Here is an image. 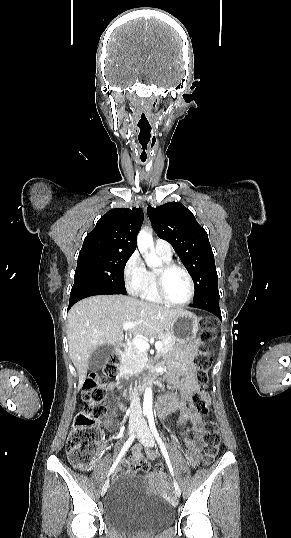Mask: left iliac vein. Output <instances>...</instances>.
<instances>
[{
    "label": "left iliac vein",
    "mask_w": 291,
    "mask_h": 538,
    "mask_svg": "<svg viewBox=\"0 0 291 538\" xmlns=\"http://www.w3.org/2000/svg\"><path fill=\"white\" fill-rule=\"evenodd\" d=\"M138 438L143 443L146 448H151L154 446V438L149 430V427L146 421H141L140 429L138 432ZM175 494L177 497L181 495V489L177 482H174Z\"/></svg>",
    "instance_id": "4c4485c4"
}]
</instances>
